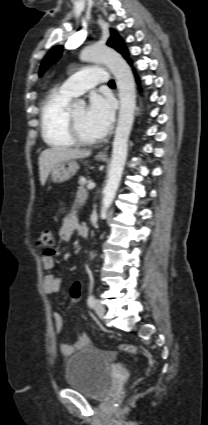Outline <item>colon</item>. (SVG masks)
Masks as SVG:
<instances>
[{
  "label": "colon",
  "instance_id": "1",
  "mask_svg": "<svg viewBox=\"0 0 208 425\" xmlns=\"http://www.w3.org/2000/svg\"><path fill=\"white\" fill-rule=\"evenodd\" d=\"M38 247L42 248L45 253H52L55 245V235L54 232L49 229H43L39 237L37 239ZM70 297L72 301L76 302L81 297V284L79 282H75L70 288ZM119 349L128 352L131 354H139L141 351L138 346L131 343H123L119 346Z\"/></svg>",
  "mask_w": 208,
  "mask_h": 425
}]
</instances>
